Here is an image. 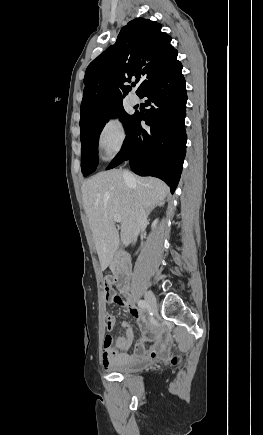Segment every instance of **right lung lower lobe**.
<instances>
[{
    "mask_svg": "<svg viewBox=\"0 0 263 435\" xmlns=\"http://www.w3.org/2000/svg\"><path fill=\"white\" fill-rule=\"evenodd\" d=\"M179 62L149 85L140 97L150 106L144 114L135 113L126 132L123 148L107 169L129 160L134 173L162 179L173 193L178 185L186 153L184 127L187 94ZM144 120L150 129H143Z\"/></svg>",
    "mask_w": 263,
    "mask_h": 435,
    "instance_id": "right-lung-lower-lobe-1",
    "label": "right lung lower lobe"
}]
</instances>
